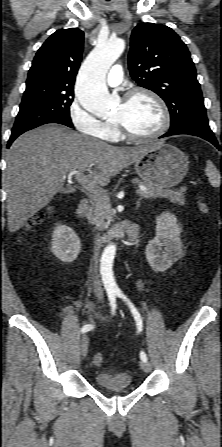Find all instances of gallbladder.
Returning a JSON list of instances; mask_svg holds the SVG:
<instances>
[{
  "label": "gallbladder",
  "instance_id": "1",
  "mask_svg": "<svg viewBox=\"0 0 222 447\" xmlns=\"http://www.w3.org/2000/svg\"><path fill=\"white\" fill-rule=\"evenodd\" d=\"M63 192L68 193V192H70V190L69 189H65V190H63Z\"/></svg>",
  "mask_w": 222,
  "mask_h": 447
}]
</instances>
